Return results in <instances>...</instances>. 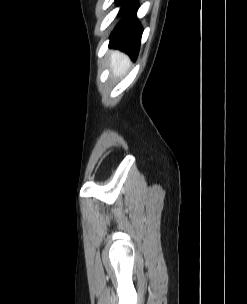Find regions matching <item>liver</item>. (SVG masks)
<instances>
[{
	"label": "liver",
	"mask_w": 247,
	"mask_h": 304,
	"mask_svg": "<svg viewBox=\"0 0 247 304\" xmlns=\"http://www.w3.org/2000/svg\"><path fill=\"white\" fill-rule=\"evenodd\" d=\"M110 66L112 68V74L114 77H122L130 67V60L128 56L119 52L112 51L110 57Z\"/></svg>",
	"instance_id": "1"
}]
</instances>
